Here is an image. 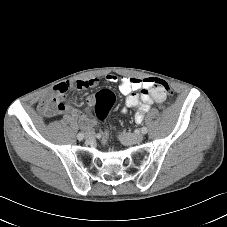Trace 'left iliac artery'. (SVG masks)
Returning <instances> with one entry per match:
<instances>
[{
    "label": "left iliac artery",
    "instance_id": "1",
    "mask_svg": "<svg viewBox=\"0 0 227 227\" xmlns=\"http://www.w3.org/2000/svg\"><path fill=\"white\" fill-rule=\"evenodd\" d=\"M141 132H142L143 134H146V133L148 132L147 127H142V128H141Z\"/></svg>",
    "mask_w": 227,
    "mask_h": 227
}]
</instances>
